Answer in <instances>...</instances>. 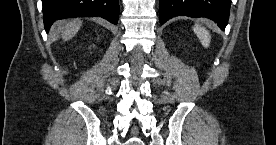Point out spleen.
<instances>
[{"mask_svg": "<svg viewBox=\"0 0 276 145\" xmlns=\"http://www.w3.org/2000/svg\"><path fill=\"white\" fill-rule=\"evenodd\" d=\"M194 32L196 33L197 37L201 41L202 45L207 48L211 41L210 33L200 25H195L193 28Z\"/></svg>", "mask_w": 276, "mask_h": 145, "instance_id": "spleen-1", "label": "spleen"}]
</instances>
